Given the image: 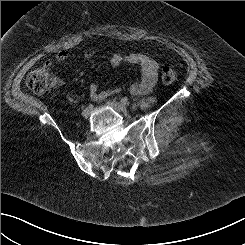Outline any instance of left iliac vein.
I'll use <instances>...</instances> for the list:
<instances>
[{
	"instance_id": "left-iliac-vein-1",
	"label": "left iliac vein",
	"mask_w": 245,
	"mask_h": 245,
	"mask_svg": "<svg viewBox=\"0 0 245 245\" xmlns=\"http://www.w3.org/2000/svg\"><path fill=\"white\" fill-rule=\"evenodd\" d=\"M107 104L118 112H124V113L128 112L127 107L117 101H107Z\"/></svg>"
}]
</instances>
